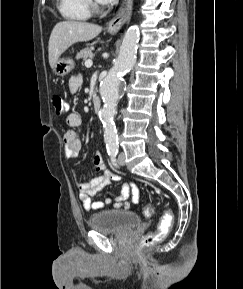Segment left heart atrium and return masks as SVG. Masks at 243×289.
Masks as SVG:
<instances>
[{"label": "left heart atrium", "instance_id": "1", "mask_svg": "<svg viewBox=\"0 0 243 289\" xmlns=\"http://www.w3.org/2000/svg\"><path fill=\"white\" fill-rule=\"evenodd\" d=\"M97 1H99L102 4H109V3L114 2L115 0H97Z\"/></svg>", "mask_w": 243, "mask_h": 289}]
</instances>
